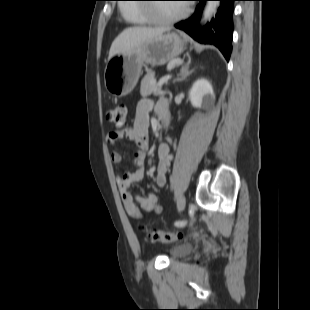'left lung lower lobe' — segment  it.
<instances>
[{
  "label": "left lung lower lobe",
  "mask_w": 310,
  "mask_h": 310,
  "mask_svg": "<svg viewBox=\"0 0 310 310\" xmlns=\"http://www.w3.org/2000/svg\"><path fill=\"white\" fill-rule=\"evenodd\" d=\"M197 1H199V4L194 15L187 20L175 24V27L184 30L201 43L215 45L222 52L226 60L229 61L233 36V3L237 0H217L220 1V7L215 18L202 28L199 26V21L205 2L209 0Z\"/></svg>",
  "instance_id": "left-lung-lower-lobe-1"
}]
</instances>
